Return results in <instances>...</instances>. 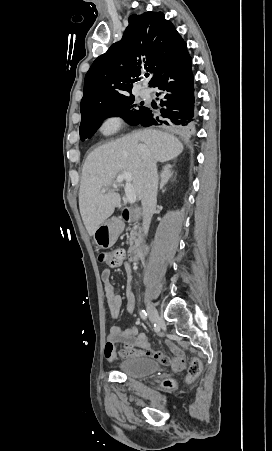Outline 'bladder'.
<instances>
[{
	"label": "bladder",
	"mask_w": 272,
	"mask_h": 451,
	"mask_svg": "<svg viewBox=\"0 0 272 451\" xmlns=\"http://www.w3.org/2000/svg\"><path fill=\"white\" fill-rule=\"evenodd\" d=\"M117 371L125 377H147L157 374L160 363L148 356L124 358L116 362Z\"/></svg>",
	"instance_id": "obj_1"
}]
</instances>
